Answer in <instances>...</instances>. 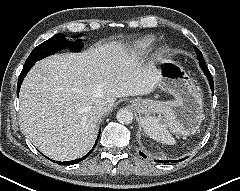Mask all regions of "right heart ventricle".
Returning <instances> with one entry per match:
<instances>
[{
	"label": "right heart ventricle",
	"instance_id": "obj_1",
	"mask_svg": "<svg viewBox=\"0 0 240 191\" xmlns=\"http://www.w3.org/2000/svg\"><path fill=\"white\" fill-rule=\"evenodd\" d=\"M155 42L156 37L153 35L142 37L133 43L132 53L134 55H143L154 45Z\"/></svg>",
	"mask_w": 240,
	"mask_h": 191
}]
</instances>
